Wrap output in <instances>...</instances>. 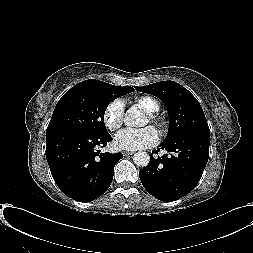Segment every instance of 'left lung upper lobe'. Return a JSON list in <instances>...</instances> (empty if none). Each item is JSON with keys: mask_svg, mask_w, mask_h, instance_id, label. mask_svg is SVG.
<instances>
[{"mask_svg": "<svg viewBox=\"0 0 253 253\" xmlns=\"http://www.w3.org/2000/svg\"><path fill=\"white\" fill-rule=\"evenodd\" d=\"M161 99L169 113V131L164 141L184 133L210 135L205 114L197 99L174 81H163L143 87H135Z\"/></svg>", "mask_w": 253, "mask_h": 253, "instance_id": "5c2ea615", "label": "left lung upper lobe"}]
</instances>
